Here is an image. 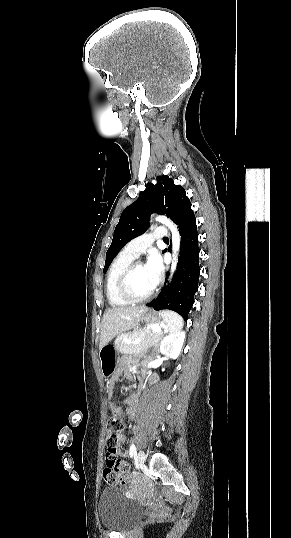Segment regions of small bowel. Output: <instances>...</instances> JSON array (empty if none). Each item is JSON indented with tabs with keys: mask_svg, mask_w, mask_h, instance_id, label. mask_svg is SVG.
<instances>
[{
	"mask_svg": "<svg viewBox=\"0 0 291 538\" xmlns=\"http://www.w3.org/2000/svg\"><path fill=\"white\" fill-rule=\"evenodd\" d=\"M125 366H126V363H123V367H125ZM119 375H120V371H117L109 379V381L107 382V394H108V397L110 399L109 409H110L111 412H113L114 414H117L118 416L122 415V414H127V415L133 417V416H135L137 414L138 409H139L140 393L130 394L129 396H127L124 399V403L127 406L125 409L118 406L117 403L114 401V390H115L116 382L119 379ZM141 388H143V385H141ZM124 442H125V438H124V436H122L118 441V446L117 447L122 445ZM117 453L121 457H127V452H121L118 449Z\"/></svg>",
	"mask_w": 291,
	"mask_h": 538,
	"instance_id": "1",
	"label": "small bowel"
}]
</instances>
